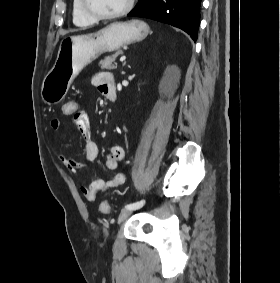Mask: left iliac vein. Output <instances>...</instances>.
Instances as JSON below:
<instances>
[{
    "label": "left iliac vein",
    "mask_w": 280,
    "mask_h": 283,
    "mask_svg": "<svg viewBox=\"0 0 280 283\" xmlns=\"http://www.w3.org/2000/svg\"><path fill=\"white\" fill-rule=\"evenodd\" d=\"M133 210L134 209L124 208L118 216V223L120 224V223L124 222L131 215Z\"/></svg>",
    "instance_id": "left-iliac-vein-1"
}]
</instances>
